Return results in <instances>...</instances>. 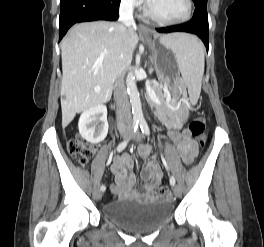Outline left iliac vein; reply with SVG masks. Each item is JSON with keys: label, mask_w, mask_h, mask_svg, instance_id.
I'll return each instance as SVG.
<instances>
[{"label": "left iliac vein", "mask_w": 264, "mask_h": 247, "mask_svg": "<svg viewBox=\"0 0 264 247\" xmlns=\"http://www.w3.org/2000/svg\"><path fill=\"white\" fill-rule=\"evenodd\" d=\"M139 138H140V134L138 133V134L136 135L135 139H136V140H139ZM173 193H174L175 196L179 197V196L181 195V189H180V187L177 186V185L174 186V187H173Z\"/></svg>", "instance_id": "left-iliac-vein-1"}]
</instances>
